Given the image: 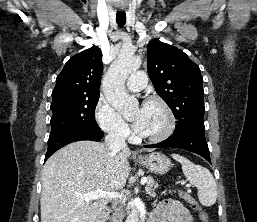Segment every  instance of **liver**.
I'll use <instances>...</instances> for the list:
<instances>
[{
	"label": "liver",
	"instance_id": "liver-1",
	"mask_svg": "<svg viewBox=\"0 0 257 222\" xmlns=\"http://www.w3.org/2000/svg\"><path fill=\"white\" fill-rule=\"evenodd\" d=\"M130 155L128 148L112 153L94 141L73 142L54 153L43 167L41 222H95L109 198L92 202L78 195L121 190L130 174Z\"/></svg>",
	"mask_w": 257,
	"mask_h": 222
}]
</instances>
